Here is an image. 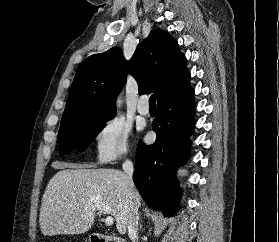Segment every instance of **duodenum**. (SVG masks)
Masks as SVG:
<instances>
[{
	"label": "duodenum",
	"instance_id": "410a0bca",
	"mask_svg": "<svg viewBox=\"0 0 279 242\" xmlns=\"http://www.w3.org/2000/svg\"><path fill=\"white\" fill-rule=\"evenodd\" d=\"M91 242H124L121 238L111 237L103 234H95L91 237Z\"/></svg>",
	"mask_w": 279,
	"mask_h": 242
}]
</instances>
